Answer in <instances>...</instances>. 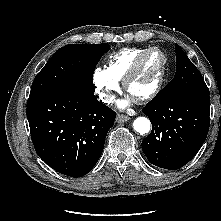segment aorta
Returning <instances> with one entry per match:
<instances>
[{
    "label": "aorta",
    "mask_w": 221,
    "mask_h": 221,
    "mask_svg": "<svg viewBox=\"0 0 221 221\" xmlns=\"http://www.w3.org/2000/svg\"><path fill=\"white\" fill-rule=\"evenodd\" d=\"M133 128L140 134H146L150 131L151 123L146 117H138L133 122Z\"/></svg>",
    "instance_id": "1"
}]
</instances>
